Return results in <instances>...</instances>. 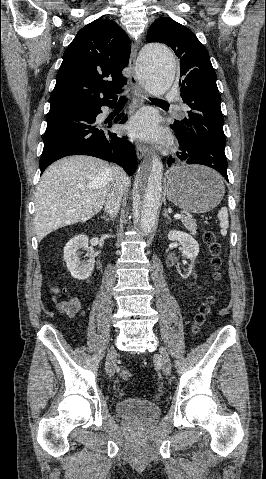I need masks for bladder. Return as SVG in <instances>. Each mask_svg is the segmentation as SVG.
Returning a JSON list of instances; mask_svg holds the SVG:
<instances>
[{
	"label": "bladder",
	"instance_id": "bladder-1",
	"mask_svg": "<svg viewBox=\"0 0 266 479\" xmlns=\"http://www.w3.org/2000/svg\"><path fill=\"white\" fill-rule=\"evenodd\" d=\"M117 413L130 420L150 422L159 417L161 409L149 401L123 400L116 404Z\"/></svg>",
	"mask_w": 266,
	"mask_h": 479
}]
</instances>
